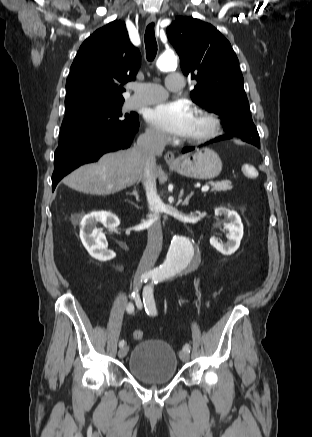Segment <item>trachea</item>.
Segmentation results:
<instances>
[{"label":"trachea","mask_w":312,"mask_h":437,"mask_svg":"<svg viewBox=\"0 0 312 437\" xmlns=\"http://www.w3.org/2000/svg\"><path fill=\"white\" fill-rule=\"evenodd\" d=\"M146 58L153 61L157 53V42L154 33V23H150L145 31Z\"/></svg>","instance_id":"3493384b"}]
</instances>
